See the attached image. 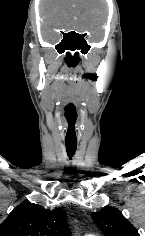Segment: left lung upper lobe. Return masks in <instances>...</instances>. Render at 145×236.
I'll list each match as a JSON object with an SVG mask.
<instances>
[{
  "label": "left lung upper lobe",
  "instance_id": "5c2ea615",
  "mask_svg": "<svg viewBox=\"0 0 145 236\" xmlns=\"http://www.w3.org/2000/svg\"><path fill=\"white\" fill-rule=\"evenodd\" d=\"M92 217L106 236H140L136 228L113 207L92 213Z\"/></svg>",
  "mask_w": 145,
  "mask_h": 236
}]
</instances>
